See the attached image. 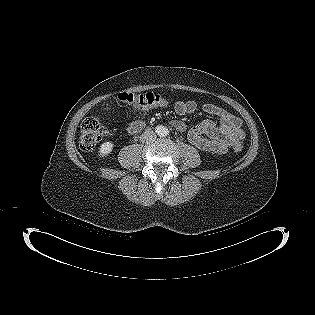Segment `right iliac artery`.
<instances>
[{
  "label": "right iliac artery",
  "instance_id": "right-iliac-artery-1",
  "mask_svg": "<svg viewBox=\"0 0 315 315\" xmlns=\"http://www.w3.org/2000/svg\"><path fill=\"white\" fill-rule=\"evenodd\" d=\"M156 132H157V133H160V132H161V128H160V127H157V128H156Z\"/></svg>",
  "mask_w": 315,
  "mask_h": 315
}]
</instances>
